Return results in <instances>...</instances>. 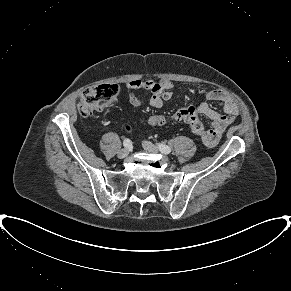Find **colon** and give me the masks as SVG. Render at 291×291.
<instances>
[{
    "instance_id": "colon-1",
    "label": "colon",
    "mask_w": 291,
    "mask_h": 291,
    "mask_svg": "<svg viewBox=\"0 0 291 291\" xmlns=\"http://www.w3.org/2000/svg\"><path fill=\"white\" fill-rule=\"evenodd\" d=\"M119 93L120 88L118 85L101 84L90 87L83 91L80 96L78 112L81 116L85 117L94 111H102L117 101ZM170 121L186 122L189 124L192 132L200 137L208 134L193 106L179 108L170 116L150 115L145 119V122L150 126H164Z\"/></svg>"
}]
</instances>
